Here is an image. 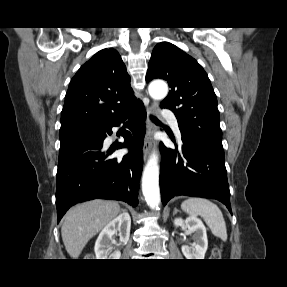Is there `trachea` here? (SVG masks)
I'll list each match as a JSON object with an SVG mask.
<instances>
[{"label": "trachea", "instance_id": "obj_1", "mask_svg": "<svg viewBox=\"0 0 287 287\" xmlns=\"http://www.w3.org/2000/svg\"><path fill=\"white\" fill-rule=\"evenodd\" d=\"M151 119H152L153 121H155V122H159L155 117H152V116H151Z\"/></svg>", "mask_w": 287, "mask_h": 287}]
</instances>
